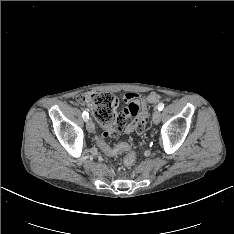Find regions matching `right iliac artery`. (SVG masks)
Returning a JSON list of instances; mask_svg holds the SVG:
<instances>
[{
	"label": "right iliac artery",
	"instance_id": "right-iliac-artery-1",
	"mask_svg": "<svg viewBox=\"0 0 234 234\" xmlns=\"http://www.w3.org/2000/svg\"><path fill=\"white\" fill-rule=\"evenodd\" d=\"M83 119H84L85 121H87V120L89 119V114H88V112H86V111L83 112Z\"/></svg>",
	"mask_w": 234,
	"mask_h": 234
}]
</instances>
